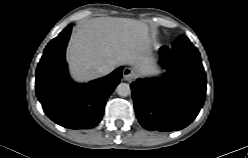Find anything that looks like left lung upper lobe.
<instances>
[{"label":"left lung upper lobe","mask_w":248,"mask_h":158,"mask_svg":"<svg viewBox=\"0 0 248 158\" xmlns=\"http://www.w3.org/2000/svg\"><path fill=\"white\" fill-rule=\"evenodd\" d=\"M176 40H178V41H184V42H188L189 41V39L186 36H184V35H180Z\"/></svg>","instance_id":"left-lung-upper-lobe-1"}]
</instances>
